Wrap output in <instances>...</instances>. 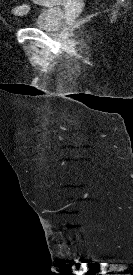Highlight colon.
<instances>
[{"label": "colon", "mask_w": 133, "mask_h": 275, "mask_svg": "<svg viewBox=\"0 0 133 275\" xmlns=\"http://www.w3.org/2000/svg\"><path fill=\"white\" fill-rule=\"evenodd\" d=\"M27 10H28V7L26 5H22V6L16 7L14 12L17 15H22V14L26 13Z\"/></svg>", "instance_id": "5ec220e1"}]
</instances>
